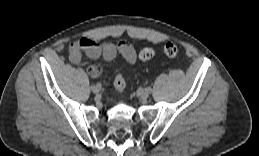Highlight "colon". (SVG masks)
Instances as JSON below:
<instances>
[{"label":"colon","mask_w":259,"mask_h":156,"mask_svg":"<svg viewBox=\"0 0 259 156\" xmlns=\"http://www.w3.org/2000/svg\"><path fill=\"white\" fill-rule=\"evenodd\" d=\"M163 52L167 57H175L179 53V48L174 43H167L163 48ZM155 55V51L152 47H144L139 52V58L141 60H150ZM114 86L118 93H122L126 88V81L122 73L116 75L114 79Z\"/></svg>","instance_id":"obj_1"}]
</instances>
